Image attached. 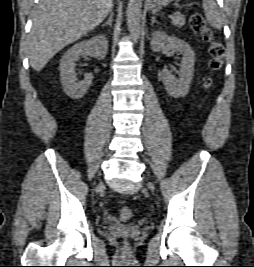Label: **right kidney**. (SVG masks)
I'll return each instance as SVG.
<instances>
[{
	"instance_id": "ca27d5eb",
	"label": "right kidney",
	"mask_w": 254,
	"mask_h": 267,
	"mask_svg": "<svg viewBox=\"0 0 254 267\" xmlns=\"http://www.w3.org/2000/svg\"><path fill=\"white\" fill-rule=\"evenodd\" d=\"M108 51V41L102 34L89 40L79 42L64 53L60 60V79L64 92L72 99L82 98L90 85L93 75L88 73L82 81H76L75 66L80 57L94 55L98 59L105 58Z\"/></svg>"
}]
</instances>
